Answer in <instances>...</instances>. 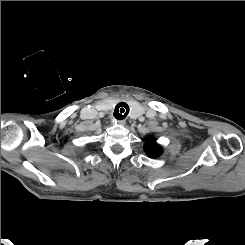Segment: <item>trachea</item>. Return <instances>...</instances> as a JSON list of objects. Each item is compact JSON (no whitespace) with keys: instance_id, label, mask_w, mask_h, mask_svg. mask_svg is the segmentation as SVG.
Segmentation results:
<instances>
[{"instance_id":"obj_1","label":"trachea","mask_w":245,"mask_h":245,"mask_svg":"<svg viewBox=\"0 0 245 245\" xmlns=\"http://www.w3.org/2000/svg\"><path fill=\"white\" fill-rule=\"evenodd\" d=\"M129 106L125 102H120L116 105L114 111V117L118 120H122L129 114Z\"/></svg>"}]
</instances>
